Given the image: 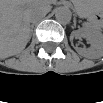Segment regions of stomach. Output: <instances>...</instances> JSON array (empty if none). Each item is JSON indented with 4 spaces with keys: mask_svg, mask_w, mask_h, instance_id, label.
<instances>
[{
    "mask_svg": "<svg viewBox=\"0 0 103 103\" xmlns=\"http://www.w3.org/2000/svg\"><path fill=\"white\" fill-rule=\"evenodd\" d=\"M91 6H92V3L90 2H80L77 4L78 10H81L82 8L90 9Z\"/></svg>",
    "mask_w": 103,
    "mask_h": 103,
    "instance_id": "stomach-1",
    "label": "stomach"
}]
</instances>
